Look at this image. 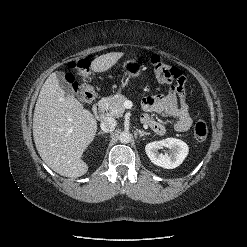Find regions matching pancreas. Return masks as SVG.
Instances as JSON below:
<instances>
[{"label": "pancreas", "instance_id": "pancreas-1", "mask_svg": "<svg viewBox=\"0 0 247 247\" xmlns=\"http://www.w3.org/2000/svg\"><path fill=\"white\" fill-rule=\"evenodd\" d=\"M127 98L122 94H116L111 97L101 99V104L110 116L116 118L122 117L125 111L124 102Z\"/></svg>", "mask_w": 247, "mask_h": 247}]
</instances>
